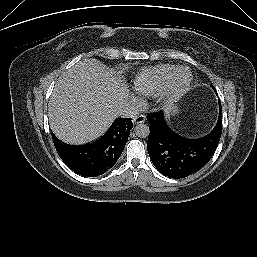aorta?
Returning a JSON list of instances; mask_svg holds the SVG:
<instances>
[{"label": "aorta", "mask_w": 257, "mask_h": 257, "mask_svg": "<svg viewBox=\"0 0 257 257\" xmlns=\"http://www.w3.org/2000/svg\"><path fill=\"white\" fill-rule=\"evenodd\" d=\"M135 134L140 138H146L149 136V128L146 124L140 123L134 128Z\"/></svg>", "instance_id": "aorta-1"}]
</instances>
